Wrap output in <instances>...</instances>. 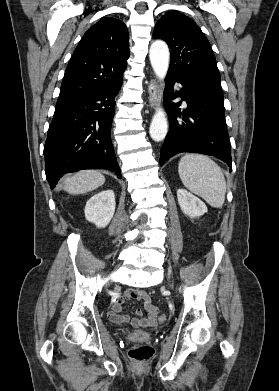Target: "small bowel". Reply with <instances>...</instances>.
Returning <instances> with one entry per match:
<instances>
[{
	"label": "small bowel",
	"instance_id": "c3829d8e",
	"mask_svg": "<svg viewBox=\"0 0 279 391\" xmlns=\"http://www.w3.org/2000/svg\"><path fill=\"white\" fill-rule=\"evenodd\" d=\"M125 299L141 300L144 303V308L147 312V316H142L140 309L136 310L137 317L131 318L128 315L121 314L122 305ZM110 320L114 323L131 324L134 327L146 328L155 326L157 323L158 308L152 303L150 297L140 290H128L123 296H119L112 303L110 311L108 313Z\"/></svg>",
	"mask_w": 279,
	"mask_h": 391
}]
</instances>
